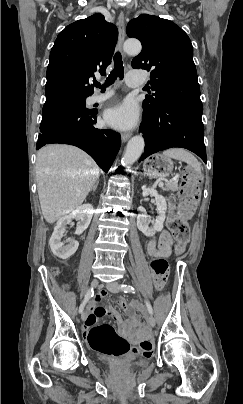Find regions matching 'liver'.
<instances>
[{
    "label": "liver",
    "instance_id": "1",
    "mask_svg": "<svg viewBox=\"0 0 243 404\" xmlns=\"http://www.w3.org/2000/svg\"><path fill=\"white\" fill-rule=\"evenodd\" d=\"M35 170L40 206L48 224L77 210L100 174L88 154L64 144L41 148Z\"/></svg>",
    "mask_w": 243,
    "mask_h": 404
}]
</instances>
